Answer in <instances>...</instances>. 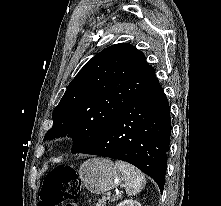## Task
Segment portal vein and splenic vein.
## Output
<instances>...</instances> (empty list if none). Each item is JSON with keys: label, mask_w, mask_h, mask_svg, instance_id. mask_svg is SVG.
Masks as SVG:
<instances>
[{"label": "portal vein and splenic vein", "mask_w": 221, "mask_h": 206, "mask_svg": "<svg viewBox=\"0 0 221 206\" xmlns=\"http://www.w3.org/2000/svg\"><path fill=\"white\" fill-rule=\"evenodd\" d=\"M107 196L110 198V197H111V193H110V192H108V193H107Z\"/></svg>", "instance_id": "obj_1"}]
</instances>
